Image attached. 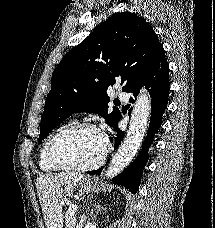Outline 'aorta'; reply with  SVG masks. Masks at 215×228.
Returning a JSON list of instances; mask_svg holds the SVG:
<instances>
[{
  "label": "aorta",
  "instance_id": "762f6f07",
  "mask_svg": "<svg viewBox=\"0 0 215 228\" xmlns=\"http://www.w3.org/2000/svg\"><path fill=\"white\" fill-rule=\"evenodd\" d=\"M150 114L151 96L147 90H141L132 110L127 136L117 154L113 156L110 166L104 174L105 180L115 178V176H118L132 162L137 150H139L142 144V140H144Z\"/></svg>",
  "mask_w": 215,
  "mask_h": 228
}]
</instances>
